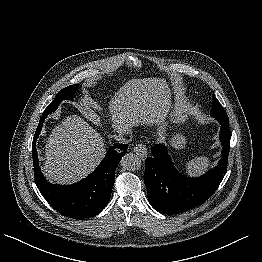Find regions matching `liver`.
Listing matches in <instances>:
<instances>
[{"label":"liver","instance_id":"6515ba94","mask_svg":"<svg viewBox=\"0 0 262 262\" xmlns=\"http://www.w3.org/2000/svg\"><path fill=\"white\" fill-rule=\"evenodd\" d=\"M168 100L164 79L129 80L108 103L112 128L123 133L139 124L153 125L164 116ZM105 153L101 135L81 117L70 115L48 138L42 172L50 182L75 183L90 174Z\"/></svg>","mask_w":262,"mask_h":262}]
</instances>
